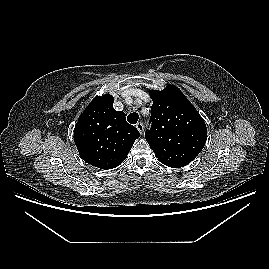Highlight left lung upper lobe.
Wrapping results in <instances>:
<instances>
[{
  "label": "left lung upper lobe",
  "mask_w": 269,
  "mask_h": 269,
  "mask_svg": "<svg viewBox=\"0 0 269 269\" xmlns=\"http://www.w3.org/2000/svg\"><path fill=\"white\" fill-rule=\"evenodd\" d=\"M151 128L145 137L161 163L172 168L186 166L203 149L207 128L203 118L184 94L173 85L150 91Z\"/></svg>",
  "instance_id": "left-lung-upper-lobe-1"
}]
</instances>
